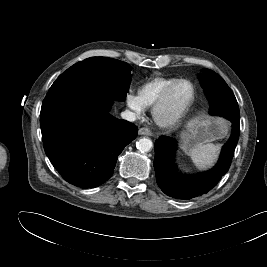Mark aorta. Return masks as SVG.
Masks as SVG:
<instances>
[{"mask_svg":"<svg viewBox=\"0 0 267 267\" xmlns=\"http://www.w3.org/2000/svg\"><path fill=\"white\" fill-rule=\"evenodd\" d=\"M136 147L140 152L144 153V152H148L152 149L153 143L149 138H141L136 143Z\"/></svg>","mask_w":267,"mask_h":267,"instance_id":"aorta-1","label":"aorta"}]
</instances>
